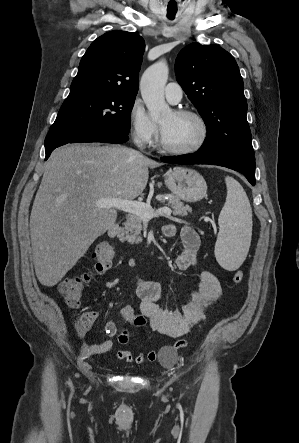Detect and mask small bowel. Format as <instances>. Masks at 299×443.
Masks as SVG:
<instances>
[{
  "label": "small bowel",
  "instance_id": "1",
  "mask_svg": "<svg viewBox=\"0 0 299 443\" xmlns=\"http://www.w3.org/2000/svg\"><path fill=\"white\" fill-rule=\"evenodd\" d=\"M163 233L166 237H173L176 233L175 226L172 224L164 226ZM181 238L182 246L173 262L176 269L183 271L198 264L200 237L193 227L187 225L181 231ZM136 294L140 300L137 311L140 322L135 329L140 330L148 323L153 331L176 338L182 336L193 324L202 319L205 309L221 296L222 287L219 279L210 271L205 270L200 274L197 287L177 304L176 310H171L161 304L164 293L160 283L156 281L137 276ZM88 314L92 318V323L98 317L97 312H89ZM105 333L108 337L117 336L119 344L123 346L129 343V330L118 332L117 325L113 321H108L105 324ZM186 344L185 340H179L170 349L176 352ZM112 348L113 341L110 339L99 344L84 343L82 354L87 358H92L105 354ZM116 356L120 360L127 363L135 362L137 365H144L147 361L154 362L158 358L155 351L134 356L127 349L118 350Z\"/></svg>",
  "mask_w": 299,
  "mask_h": 443
}]
</instances>
